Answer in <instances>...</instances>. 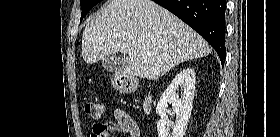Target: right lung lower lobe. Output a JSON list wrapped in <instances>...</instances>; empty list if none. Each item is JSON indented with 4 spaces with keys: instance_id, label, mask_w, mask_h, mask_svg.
Listing matches in <instances>:
<instances>
[{
    "instance_id": "right-lung-lower-lobe-1",
    "label": "right lung lower lobe",
    "mask_w": 280,
    "mask_h": 137,
    "mask_svg": "<svg viewBox=\"0 0 280 137\" xmlns=\"http://www.w3.org/2000/svg\"><path fill=\"white\" fill-rule=\"evenodd\" d=\"M175 14L215 49L225 61V0H153Z\"/></svg>"
}]
</instances>
